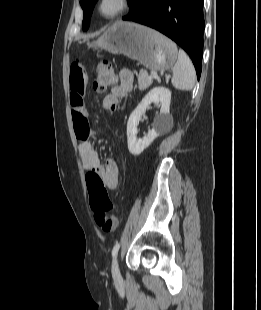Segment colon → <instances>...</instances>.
Segmentation results:
<instances>
[{
  "label": "colon",
  "instance_id": "obj_1",
  "mask_svg": "<svg viewBox=\"0 0 261 310\" xmlns=\"http://www.w3.org/2000/svg\"><path fill=\"white\" fill-rule=\"evenodd\" d=\"M115 84L116 77L111 64L107 61L100 62L95 68L93 89L96 92H104ZM86 183L96 224L104 232L114 231L117 227V218L109 213L113 205L101 176L97 172L89 171L86 174Z\"/></svg>",
  "mask_w": 261,
  "mask_h": 310
}]
</instances>
